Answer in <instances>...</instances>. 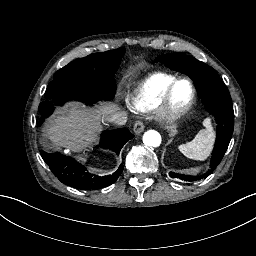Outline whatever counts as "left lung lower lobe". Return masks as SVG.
Returning a JSON list of instances; mask_svg holds the SVG:
<instances>
[{"label":"left lung lower lobe","mask_w":256,"mask_h":256,"mask_svg":"<svg viewBox=\"0 0 256 256\" xmlns=\"http://www.w3.org/2000/svg\"><path fill=\"white\" fill-rule=\"evenodd\" d=\"M170 176L172 178H179L181 180L188 181V182L199 181V179H198L199 177H197V176H187V175L177 174V173H173V172H170Z\"/></svg>","instance_id":"left-lung-lower-lobe-1"}]
</instances>
